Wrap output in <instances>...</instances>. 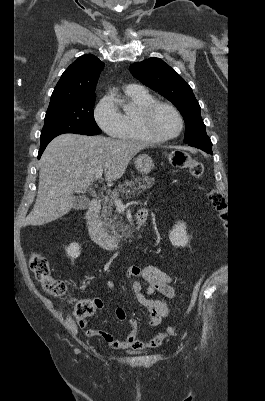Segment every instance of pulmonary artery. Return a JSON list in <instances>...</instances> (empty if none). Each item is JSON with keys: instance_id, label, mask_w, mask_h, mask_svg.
I'll return each instance as SVG.
<instances>
[{"instance_id": "1", "label": "pulmonary artery", "mask_w": 265, "mask_h": 401, "mask_svg": "<svg viewBox=\"0 0 265 401\" xmlns=\"http://www.w3.org/2000/svg\"><path fill=\"white\" fill-rule=\"evenodd\" d=\"M136 88V86H134V85H128V86H126V89L127 90H133V89H135Z\"/></svg>"}]
</instances>
